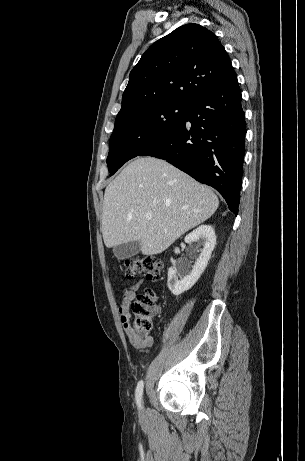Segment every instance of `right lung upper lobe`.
Listing matches in <instances>:
<instances>
[{"mask_svg":"<svg viewBox=\"0 0 305 461\" xmlns=\"http://www.w3.org/2000/svg\"><path fill=\"white\" fill-rule=\"evenodd\" d=\"M235 74L217 36L186 24L156 41L132 69L116 121L163 103H190Z\"/></svg>","mask_w":305,"mask_h":461,"instance_id":"cb5924a9","label":"right lung upper lobe"}]
</instances>
